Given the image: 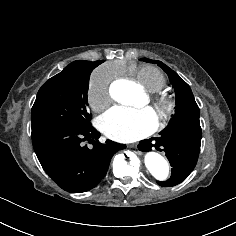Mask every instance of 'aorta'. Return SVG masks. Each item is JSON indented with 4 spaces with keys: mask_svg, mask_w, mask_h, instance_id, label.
Returning a JSON list of instances; mask_svg holds the SVG:
<instances>
[{
    "mask_svg": "<svg viewBox=\"0 0 236 236\" xmlns=\"http://www.w3.org/2000/svg\"><path fill=\"white\" fill-rule=\"evenodd\" d=\"M112 94L115 98L124 103H131L135 99V90L133 83L123 81L112 88ZM145 166L151 175L160 181L169 177V164L166 159L157 152L149 151L145 154Z\"/></svg>",
    "mask_w": 236,
    "mask_h": 236,
    "instance_id": "762f6f07",
    "label": "aorta"
}]
</instances>
